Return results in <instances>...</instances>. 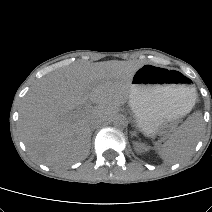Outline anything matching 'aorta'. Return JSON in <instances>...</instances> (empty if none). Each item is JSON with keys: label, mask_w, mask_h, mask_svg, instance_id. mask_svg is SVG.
Returning a JSON list of instances; mask_svg holds the SVG:
<instances>
[{"label": "aorta", "mask_w": 212, "mask_h": 212, "mask_svg": "<svg viewBox=\"0 0 212 212\" xmlns=\"http://www.w3.org/2000/svg\"><path fill=\"white\" fill-rule=\"evenodd\" d=\"M127 124H128V121L124 115H117L113 119V125L116 128H125Z\"/></svg>", "instance_id": "aorta-1"}]
</instances>
